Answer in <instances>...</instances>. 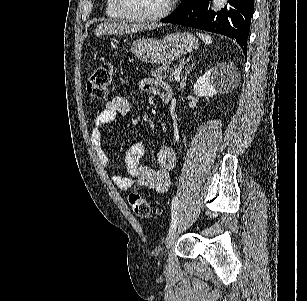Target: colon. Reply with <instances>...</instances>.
Listing matches in <instances>:
<instances>
[{
	"mask_svg": "<svg viewBox=\"0 0 307 301\" xmlns=\"http://www.w3.org/2000/svg\"><path fill=\"white\" fill-rule=\"evenodd\" d=\"M112 74L113 70L110 63H103L98 66L88 78V93L94 98L104 99L108 93ZM128 203L136 216L148 218L151 215V208L147 200L141 194L136 192L130 193L128 196Z\"/></svg>",
	"mask_w": 307,
	"mask_h": 301,
	"instance_id": "obj_1",
	"label": "colon"
}]
</instances>
